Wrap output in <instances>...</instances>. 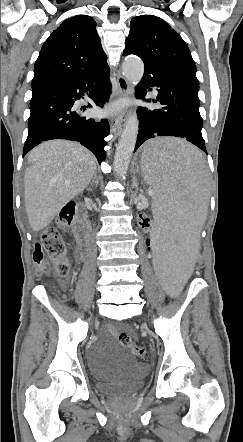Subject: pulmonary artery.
<instances>
[{
    "mask_svg": "<svg viewBox=\"0 0 243 442\" xmlns=\"http://www.w3.org/2000/svg\"><path fill=\"white\" fill-rule=\"evenodd\" d=\"M157 93H158V92H157V90L155 89V90H154V94L157 95Z\"/></svg>",
    "mask_w": 243,
    "mask_h": 442,
    "instance_id": "e3ab8cb5",
    "label": "pulmonary artery"
}]
</instances>
